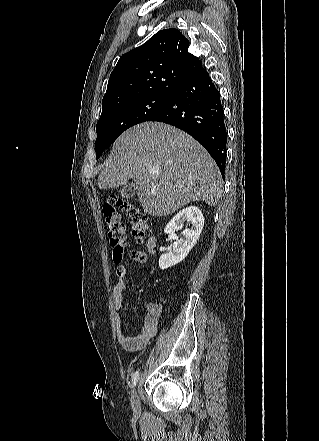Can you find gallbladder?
I'll list each match as a JSON object with an SVG mask.
<instances>
[{"label": "gallbladder", "instance_id": "bac80fb5", "mask_svg": "<svg viewBox=\"0 0 319 441\" xmlns=\"http://www.w3.org/2000/svg\"><path fill=\"white\" fill-rule=\"evenodd\" d=\"M135 185L133 183H129L122 187L121 189V197L124 199H130L135 195Z\"/></svg>", "mask_w": 319, "mask_h": 441}]
</instances>
